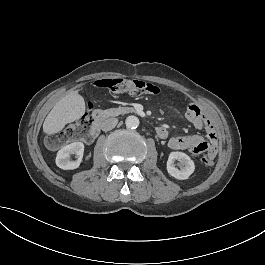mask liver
Returning a JSON list of instances; mask_svg holds the SVG:
<instances>
[{
  "label": "liver",
  "instance_id": "6515ba94",
  "mask_svg": "<svg viewBox=\"0 0 265 265\" xmlns=\"http://www.w3.org/2000/svg\"><path fill=\"white\" fill-rule=\"evenodd\" d=\"M84 113V98L77 91H72L60 99L49 112L43 123V131L46 134H55L66 124L81 118Z\"/></svg>",
  "mask_w": 265,
  "mask_h": 265
}]
</instances>
